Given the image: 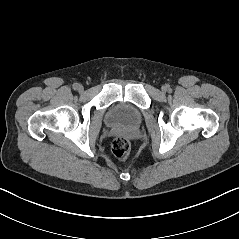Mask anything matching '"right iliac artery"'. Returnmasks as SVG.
I'll list each match as a JSON object with an SVG mask.
<instances>
[{
	"label": "right iliac artery",
	"instance_id": "82829eb1",
	"mask_svg": "<svg viewBox=\"0 0 239 239\" xmlns=\"http://www.w3.org/2000/svg\"><path fill=\"white\" fill-rule=\"evenodd\" d=\"M78 87H79V84H78V83H74V84H73V89H74V90H77Z\"/></svg>",
	"mask_w": 239,
	"mask_h": 239
}]
</instances>
